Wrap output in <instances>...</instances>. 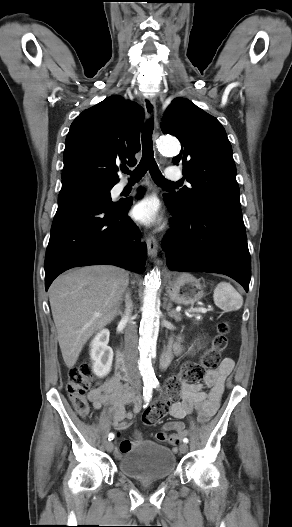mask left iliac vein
<instances>
[{
  "mask_svg": "<svg viewBox=\"0 0 292 527\" xmlns=\"http://www.w3.org/2000/svg\"><path fill=\"white\" fill-rule=\"evenodd\" d=\"M179 450L182 454H185L188 451V445L186 443H182L179 447Z\"/></svg>",
  "mask_w": 292,
  "mask_h": 527,
  "instance_id": "obj_1",
  "label": "left iliac vein"
}]
</instances>
